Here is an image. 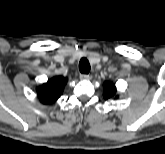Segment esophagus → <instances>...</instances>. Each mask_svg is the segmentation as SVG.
<instances>
[{"mask_svg":"<svg viewBox=\"0 0 165 154\" xmlns=\"http://www.w3.org/2000/svg\"><path fill=\"white\" fill-rule=\"evenodd\" d=\"M82 80H90L92 76L90 74H80Z\"/></svg>","mask_w":165,"mask_h":154,"instance_id":"1","label":"esophagus"}]
</instances>
